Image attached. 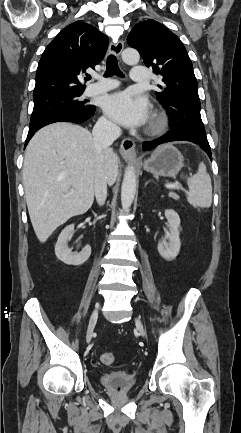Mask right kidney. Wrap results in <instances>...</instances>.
I'll use <instances>...</instances> for the list:
<instances>
[{
  "instance_id": "ca27d5eb",
  "label": "right kidney",
  "mask_w": 241,
  "mask_h": 433,
  "mask_svg": "<svg viewBox=\"0 0 241 433\" xmlns=\"http://www.w3.org/2000/svg\"><path fill=\"white\" fill-rule=\"evenodd\" d=\"M74 232V225H69L60 233L55 245L57 258L67 265L78 266L88 260L91 254V247L86 245L81 252L73 253L67 246V241Z\"/></svg>"
}]
</instances>
